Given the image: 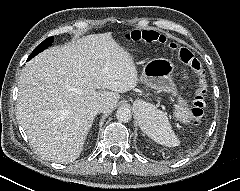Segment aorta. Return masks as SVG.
<instances>
[{"label": "aorta", "mask_w": 240, "mask_h": 191, "mask_svg": "<svg viewBox=\"0 0 240 191\" xmlns=\"http://www.w3.org/2000/svg\"><path fill=\"white\" fill-rule=\"evenodd\" d=\"M145 108L148 107V104L143 105ZM138 110H142L139 108ZM116 118L119 122H128L132 118L131 110L127 107H120L116 111Z\"/></svg>", "instance_id": "aorta-1"}]
</instances>
